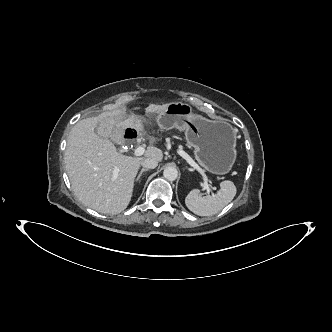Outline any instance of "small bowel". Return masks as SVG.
<instances>
[{"instance_id":"small-bowel-1","label":"small bowel","mask_w":332,"mask_h":332,"mask_svg":"<svg viewBox=\"0 0 332 332\" xmlns=\"http://www.w3.org/2000/svg\"><path fill=\"white\" fill-rule=\"evenodd\" d=\"M143 124L141 123V126L137 128L138 131L143 132Z\"/></svg>"}]
</instances>
